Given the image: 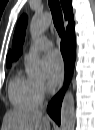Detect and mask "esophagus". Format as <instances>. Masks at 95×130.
<instances>
[{"label": "esophagus", "mask_w": 95, "mask_h": 130, "mask_svg": "<svg viewBox=\"0 0 95 130\" xmlns=\"http://www.w3.org/2000/svg\"><path fill=\"white\" fill-rule=\"evenodd\" d=\"M62 86H63V80L61 81L58 90H60L62 88Z\"/></svg>", "instance_id": "esophagus-1"}]
</instances>
